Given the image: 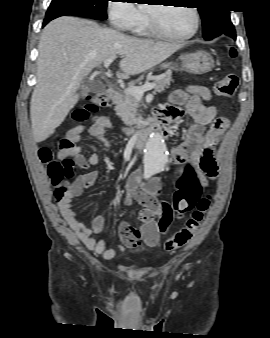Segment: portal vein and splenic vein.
Segmentation results:
<instances>
[{
    "instance_id": "portal-vein-and-splenic-vein-1",
    "label": "portal vein and splenic vein",
    "mask_w": 270,
    "mask_h": 338,
    "mask_svg": "<svg viewBox=\"0 0 270 338\" xmlns=\"http://www.w3.org/2000/svg\"><path fill=\"white\" fill-rule=\"evenodd\" d=\"M116 56H112L104 61V67L107 68L114 60ZM155 83H147L141 87L131 86L128 87L125 91L133 95L137 99H141L145 91L151 90L155 87Z\"/></svg>"
}]
</instances>
